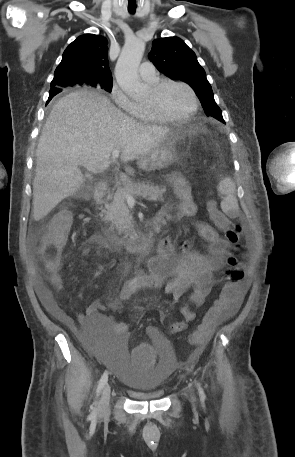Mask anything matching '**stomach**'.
Listing matches in <instances>:
<instances>
[{"instance_id":"0dacf381","label":"stomach","mask_w":295,"mask_h":457,"mask_svg":"<svg viewBox=\"0 0 295 457\" xmlns=\"http://www.w3.org/2000/svg\"><path fill=\"white\" fill-rule=\"evenodd\" d=\"M199 130L198 126H191L188 133H195ZM177 136L174 132L168 135L158 147L139 159L138 165L142 170L152 171L167 167L179 161L176 150Z\"/></svg>"}]
</instances>
